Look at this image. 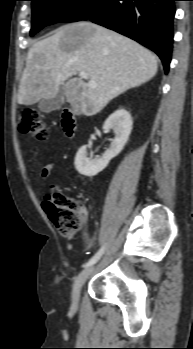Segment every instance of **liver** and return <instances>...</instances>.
Segmentation results:
<instances>
[{
	"mask_svg": "<svg viewBox=\"0 0 193 349\" xmlns=\"http://www.w3.org/2000/svg\"><path fill=\"white\" fill-rule=\"evenodd\" d=\"M158 58L135 41L89 22L64 25L32 45L18 91L20 105L54 98L61 86L75 115L93 116L126 90L152 79ZM85 72L96 88L73 75Z\"/></svg>",
	"mask_w": 193,
	"mask_h": 349,
	"instance_id": "liver-1",
	"label": "liver"
}]
</instances>
